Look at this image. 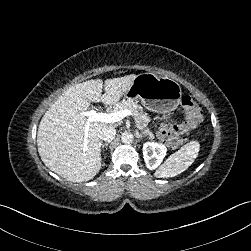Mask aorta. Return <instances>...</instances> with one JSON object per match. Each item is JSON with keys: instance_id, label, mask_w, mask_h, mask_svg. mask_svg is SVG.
<instances>
[{"instance_id": "aorta-1", "label": "aorta", "mask_w": 251, "mask_h": 251, "mask_svg": "<svg viewBox=\"0 0 251 251\" xmlns=\"http://www.w3.org/2000/svg\"><path fill=\"white\" fill-rule=\"evenodd\" d=\"M133 139H134L133 134L128 133V132L122 133L121 141H122L123 143H125V144H130V143H132Z\"/></svg>"}]
</instances>
